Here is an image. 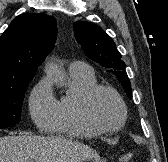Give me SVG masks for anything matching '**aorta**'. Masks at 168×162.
I'll return each mask as SVG.
<instances>
[{
    "mask_svg": "<svg viewBox=\"0 0 168 162\" xmlns=\"http://www.w3.org/2000/svg\"><path fill=\"white\" fill-rule=\"evenodd\" d=\"M47 74L49 77H51L54 82H56L59 85L64 84L66 80L65 72L56 64L50 63L47 66Z\"/></svg>",
    "mask_w": 168,
    "mask_h": 162,
    "instance_id": "aorta-1",
    "label": "aorta"
}]
</instances>
